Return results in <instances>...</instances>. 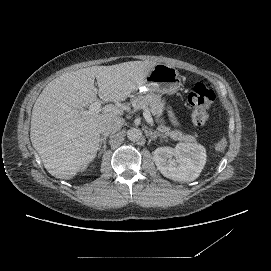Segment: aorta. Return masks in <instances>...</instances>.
Wrapping results in <instances>:
<instances>
[{"instance_id": "762f6f07", "label": "aorta", "mask_w": 271, "mask_h": 271, "mask_svg": "<svg viewBox=\"0 0 271 271\" xmlns=\"http://www.w3.org/2000/svg\"><path fill=\"white\" fill-rule=\"evenodd\" d=\"M127 137L132 142H138L142 138V131L139 128H131L127 132Z\"/></svg>"}]
</instances>
